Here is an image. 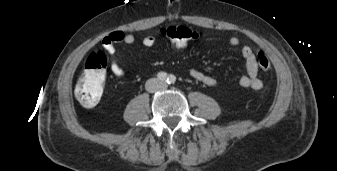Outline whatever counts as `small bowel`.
I'll return each mask as SVG.
<instances>
[{"mask_svg": "<svg viewBox=\"0 0 337 171\" xmlns=\"http://www.w3.org/2000/svg\"><path fill=\"white\" fill-rule=\"evenodd\" d=\"M135 41L136 38L131 33L113 31L103 37L101 40V45L108 54L111 56H117L119 54V51L116 47L117 44L124 43L131 45L135 43ZM141 43L144 47L151 48L156 44V38L152 35H147L142 39ZM228 43L232 47H237L240 41L237 37H231L229 38ZM241 55L245 61L246 74L240 78V85L244 88L260 90L263 87V82L258 77V63L254 50L250 46L245 45L241 49ZM109 68L111 74L115 77H122L125 74L124 69L120 66L117 60H112ZM189 75L192 79L208 87H215L217 85V81L214 77L197 68L190 69Z\"/></svg>", "mask_w": 337, "mask_h": 171, "instance_id": "1", "label": "small bowel"}]
</instances>
